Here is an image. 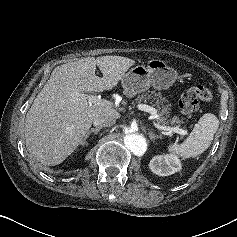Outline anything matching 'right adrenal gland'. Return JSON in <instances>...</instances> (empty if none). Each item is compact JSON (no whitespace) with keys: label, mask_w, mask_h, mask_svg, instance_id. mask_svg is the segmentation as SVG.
I'll return each instance as SVG.
<instances>
[{"label":"right adrenal gland","mask_w":237,"mask_h":237,"mask_svg":"<svg viewBox=\"0 0 237 237\" xmlns=\"http://www.w3.org/2000/svg\"><path fill=\"white\" fill-rule=\"evenodd\" d=\"M100 130H101L100 127L91 128V130H89V131L87 132V134L85 135V137L83 138L81 144H82V145H87L88 143H87L86 140L89 138V136H90L92 133H94V135H97V133H98Z\"/></svg>","instance_id":"1"}]
</instances>
